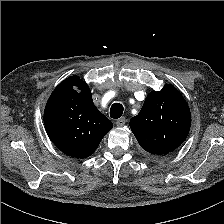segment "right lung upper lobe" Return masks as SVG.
<instances>
[{
  "mask_svg": "<svg viewBox=\"0 0 224 224\" xmlns=\"http://www.w3.org/2000/svg\"><path fill=\"white\" fill-rule=\"evenodd\" d=\"M44 124L55 146L77 158L93 154L113 127L93 104L86 82L76 75L65 79L52 92L44 110Z\"/></svg>",
  "mask_w": 224,
  "mask_h": 224,
  "instance_id": "cb5924a9",
  "label": "right lung upper lobe"
}]
</instances>
